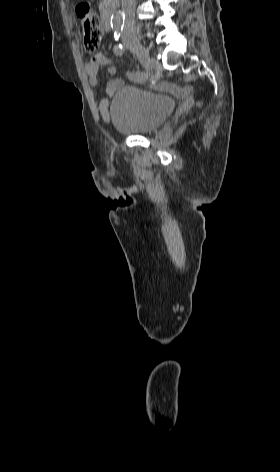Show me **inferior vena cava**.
Returning a JSON list of instances; mask_svg holds the SVG:
<instances>
[{"label":"inferior vena cava","mask_w":280,"mask_h":472,"mask_svg":"<svg viewBox=\"0 0 280 472\" xmlns=\"http://www.w3.org/2000/svg\"><path fill=\"white\" fill-rule=\"evenodd\" d=\"M125 14V31L135 32V0H122Z\"/></svg>","instance_id":"1"}]
</instances>
